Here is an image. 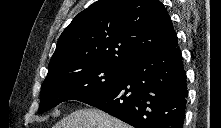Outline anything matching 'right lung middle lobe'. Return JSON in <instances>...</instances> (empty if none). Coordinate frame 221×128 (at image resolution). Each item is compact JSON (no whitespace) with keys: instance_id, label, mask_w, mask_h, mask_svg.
Listing matches in <instances>:
<instances>
[{"instance_id":"obj_1","label":"right lung middle lobe","mask_w":221,"mask_h":128,"mask_svg":"<svg viewBox=\"0 0 221 128\" xmlns=\"http://www.w3.org/2000/svg\"><path fill=\"white\" fill-rule=\"evenodd\" d=\"M127 67L104 64L65 66L48 73L40 93L41 114L68 100H84L118 82Z\"/></svg>"}]
</instances>
